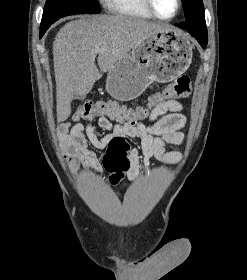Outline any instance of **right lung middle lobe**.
<instances>
[{"mask_svg": "<svg viewBox=\"0 0 247 280\" xmlns=\"http://www.w3.org/2000/svg\"><path fill=\"white\" fill-rule=\"evenodd\" d=\"M79 13H100L97 0H47L40 27H49L62 17Z\"/></svg>", "mask_w": 247, "mask_h": 280, "instance_id": "right-lung-middle-lobe-1", "label": "right lung middle lobe"}]
</instances>
